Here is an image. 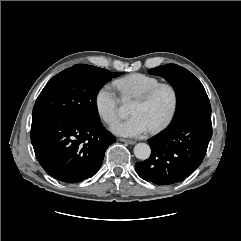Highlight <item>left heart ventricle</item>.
Instances as JSON below:
<instances>
[{
  "instance_id": "b2bd125f",
  "label": "left heart ventricle",
  "mask_w": 241,
  "mask_h": 241,
  "mask_svg": "<svg viewBox=\"0 0 241 241\" xmlns=\"http://www.w3.org/2000/svg\"><path fill=\"white\" fill-rule=\"evenodd\" d=\"M172 103L171 94L168 90H161L152 100L147 103L134 101L131 109V115H141L150 128L160 123L168 114Z\"/></svg>"
}]
</instances>
